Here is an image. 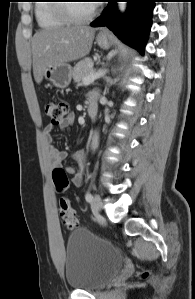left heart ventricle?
I'll return each mask as SVG.
<instances>
[{"mask_svg":"<svg viewBox=\"0 0 195 299\" xmlns=\"http://www.w3.org/2000/svg\"><path fill=\"white\" fill-rule=\"evenodd\" d=\"M93 4L90 2L71 3V10L77 15H86L92 10Z\"/></svg>","mask_w":195,"mask_h":299,"instance_id":"left-heart-ventricle-1","label":"left heart ventricle"}]
</instances>
